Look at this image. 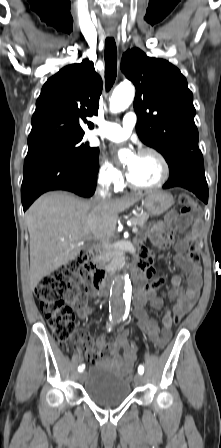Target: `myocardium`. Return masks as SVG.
Instances as JSON below:
<instances>
[{
    "label": "myocardium",
    "mask_w": 221,
    "mask_h": 448,
    "mask_svg": "<svg viewBox=\"0 0 221 448\" xmlns=\"http://www.w3.org/2000/svg\"><path fill=\"white\" fill-rule=\"evenodd\" d=\"M141 155H152L159 161V163L161 164L162 169H163L162 177L157 182H155L153 184H140V183L135 182L134 180L131 179L130 176H128L127 177L128 184L133 188L143 189V190L155 189V188H159V187L163 186L168 181V179L171 175V166H170V163H169L168 159L166 158V156L159 150L150 148V147L141 149L138 152V156H141Z\"/></svg>",
    "instance_id": "myocardium-1"
}]
</instances>
